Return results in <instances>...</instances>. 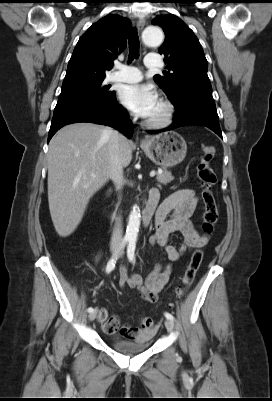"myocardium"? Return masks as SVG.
Returning a JSON list of instances; mask_svg holds the SVG:
<instances>
[{
	"instance_id": "f54148a6",
	"label": "myocardium",
	"mask_w": 272,
	"mask_h": 401,
	"mask_svg": "<svg viewBox=\"0 0 272 401\" xmlns=\"http://www.w3.org/2000/svg\"><path fill=\"white\" fill-rule=\"evenodd\" d=\"M159 104L161 106L160 115L144 122V125L150 129H163L170 126L174 121L176 114L174 104L166 98H161Z\"/></svg>"
}]
</instances>
